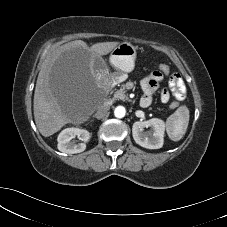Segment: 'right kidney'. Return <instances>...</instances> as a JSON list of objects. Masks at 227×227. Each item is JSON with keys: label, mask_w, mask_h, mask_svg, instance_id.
I'll use <instances>...</instances> for the list:
<instances>
[{"label": "right kidney", "mask_w": 227, "mask_h": 227, "mask_svg": "<svg viewBox=\"0 0 227 227\" xmlns=\"http://www.w3.org/2000/svg\"><path fill=\"white\" fill-rule=\"evenodd\" d=\"M75 137H78L82 143H75L71 141ZM90 139V133L87 130L80 128H66L60 132L58 135L57 148L59 151L67 154H75L83 152L86 148V142Z\"/></svg>", "instance_id": "ca27d5eb"}]
</instances>
